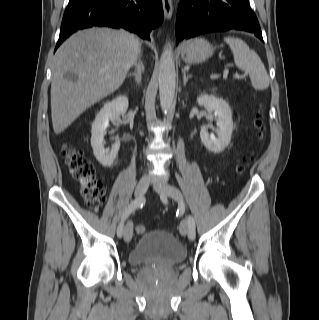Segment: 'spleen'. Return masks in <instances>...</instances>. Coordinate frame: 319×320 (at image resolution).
<instances>
[{"label": "spleen", "mask_w": 319, "mask_h": 320, "mask_svg": "<svg viewBox=\"0 0 319 320\" xmlns=\"http://www.w3.org/2000/svg\"><path fill=\"white\" fill-rule=\"evenodd\" d=\"M224 41L230 46L235 65L249 74L253 88L267 89L269 76L258 54L240 38L225 37Z\"/></svg>", "instance_id": "1"}]
</instances>
